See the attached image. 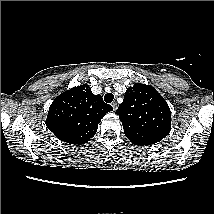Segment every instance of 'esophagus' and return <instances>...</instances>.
Listing matches in <instances>:
<instances>
[{
    "label": "esophagus",
    "mask_w": 214,
    "mask_h": 214,
    "mask_svg": "<svg viewBox=\"0 0 214 214\" xmlns=\"http://www.w3.org/2000/svg\"><path fill=\"white\" fill-rule=\"evenodd\" d=\"M111 106L113 107V110L115 111L117 109V103L116 102H112Z\"/></svg>",
    "instance_id": "1"
}]
</instances>
